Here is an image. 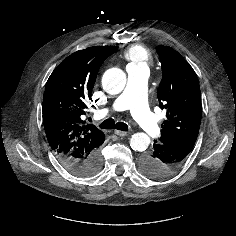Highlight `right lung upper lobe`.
<instances>
[{"label": "right lung upper lobe", "mask_w": 236, "mask_h": 236, "mask_svg": "<svg viewBox=\"0 0 236 236\" xmlns=\"http://www.w3.org/2000/svg\"><path fill=\"white\" fill-rule=\"evenodd\" d=\"M117 46L79 50L56 67L43 96V123L51 149L59 159L86 160L104 142V133L81 119L103 61Z\"/></svg>", "instance_id": "obj_1"}]
</instances>
